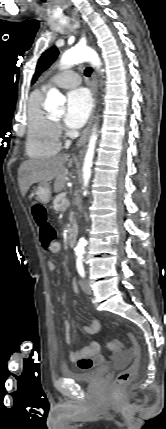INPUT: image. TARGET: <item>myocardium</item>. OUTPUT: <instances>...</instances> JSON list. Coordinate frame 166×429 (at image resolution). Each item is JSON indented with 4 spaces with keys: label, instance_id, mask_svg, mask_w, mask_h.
Instances as JSON below:
<instances>
[{
    "label": "myocardium",
    "instance_id": "f54148a6",
    "mask_svg": "<svg viewBox=\"0 0 166 429\" xmlns=\"http://www.w3.org/2000/svg\"><path fill=\"white\" fill-rule=\"evenodd\" d=\"M53 120V119H52ZM54 121V123H57V120H53Z\"/></svg>",
    "mask_w": 166,
    "mask_h": 429
}]
</instances>
